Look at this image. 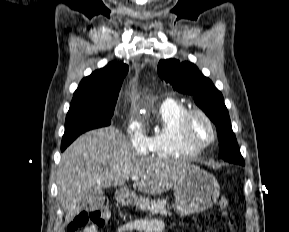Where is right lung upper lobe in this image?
I'll return each instance as SVG.
<instances>
[{
  "instance_id": "obj_1",
  "label": "right lung upper lobe",
  "mask_w": 289,
  "mask_h": 232,
  "mask_svg": "<svg viewBox=\"0 0 289 232\" xmlns=\"http://www.w3.org/2000/svg\"><path fill=\"white\" fill-rule=\"evenodd\" d=\"M128 66L121 62H111L102 69L85 77L74 92L73 99L79 97H118Z\"/></svg>"
}]
</instances>
